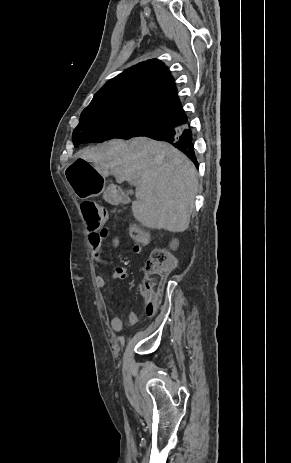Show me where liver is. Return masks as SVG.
Here are the masks:
<instances>
[{"label": "liver", "instance_id": "liver-1", "mask_svg": "<svg viewBox=\"0 0 291 463\" xmlns=\"http://www.w3.org/2000/svg\"><path fill=\"white\" fill-rule=\"evenodd\" d=\"M77 158L93 163L103 177L111 173L117 183L136 186L131 208L143 226L170 232L189 227L198 191L196 169L172 145L146 137L114 139L83 149Z\"/></svg>", "mask_w": 291, "mask_h": 463}]
</instances>
